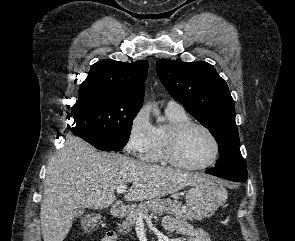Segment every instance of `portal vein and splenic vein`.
Masks as SVG:
<instances>
[{
    "instance_id": "obj_1",
    "label": "portal vein and splenic vein",
    "mask_w": 295,
    "mask_h": 241,
    "mask_svg": "<svg viewBox=\"0 0 295 241\" xmlns=\"http://www.w3.org/2000/svg\"><path fill=\"white\" fill-rule=\"evenodd\" d=\"M126 190H127L126 185H121V186H118L116 188V191H117L118 194H122V193L126 192ZM151 218H152V215H143V214L139 213L138 221L141 222L143 219L148 220V219H151Z\"/></svg>"
}]
</instances>
